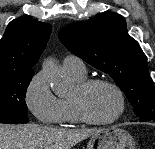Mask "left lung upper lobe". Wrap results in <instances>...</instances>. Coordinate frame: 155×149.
Wrapping results in <instances>:
<instances>
[{"label":"left lung upper lobe","instance_id":"obj_1","mask_svg":"<svg viewBox=\"0 0 155 149\" xmlns=\"http://www.w3.org/2000/svg\"><path fill=\"white\" fill-rule=\"evenodd\" d=\"M58 36L73 54L109 74L140 118L155 115V90L147 57L128 35L123 16L98 13L94 18L62 28Z\"/></svg>","mask_w":155,"mask_h":149}]
</instances>
